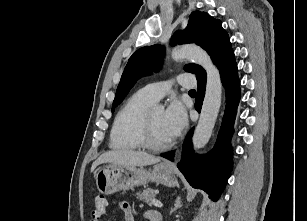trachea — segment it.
I'll list each match as a JSON object with an SVG mask.
<instances>
[{"instance_id": "trachea-1", "label": "trachea", "mask_w": 307, "mask_h": 221, "mask_svg": "<svg viewBox=\"0 0 307 221\" xmlns=\"http://www.w3.org/2000/svg\"><path fill=\"white\" fill-rule=\"evenodd\" d=\"M189 93H196V91L194 89H191Z\"/></svg>"}]
</instances>
